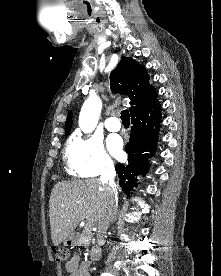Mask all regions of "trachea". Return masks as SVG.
I'll return each instance as SVG.
<instances>
[{"mask_svg":"<svg viewBox=\"0 0 221 276\" xmlns=\"http://www.w3.org/2000/svg\"><path fill=\"white\" fill-rule=\"evenodd\" d=\"M121 120L124 125L130 124V115L128 110H123L121 112Z\"/></svg>","mask_w":221,"mask_h":276,"instance_id":"obj_1","label":"trachea"}]
</instances>
